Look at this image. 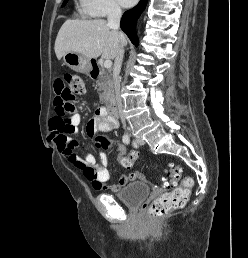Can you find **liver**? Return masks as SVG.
Segmentation results:
<instances>
[{
    "label": "liver",
    "instance_id": "1",
    "mask_svg": "<svg viewBox=\"0 0 248 258\" xmlns=\"http://www.w3.org/2000/svg\"><path fill=\"white\" fill-rule=\"evenodd\" d=\"M125 41L124 34L111 29L105 20H67L58 32L54 49L58 60L66 52H76L89 59L101 55L111 60Z\"/></svg>",
    "mask_w": 248,
    "mask_h": 258
}]
</instances>
